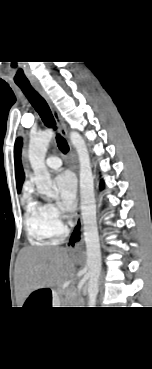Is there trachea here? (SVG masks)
I'll return each instance as SVG.
<instances>
[{"label":"trachea","instance_id":"3493384b","mask_svg":"<svg viewBox=\"0 0 152 369\" xmlns=\"http://www.w3.org/2000/svg\"><path fill=\"white\" fill-rule=\"evenodd\" d=\"M17 85L40 115L44 124L47 127L54 128L56 130L55 119L45 99L31 86L30 83H18ZM56 141L61 152L66 154L69 151L67 141L60 134L56 135Z\"/></svg>","mask_w":152,"mask_h":369}]
</instances>
